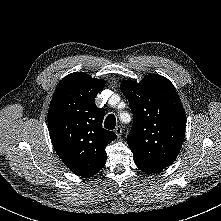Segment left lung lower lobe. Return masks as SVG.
Here are the masks:
<instances>
[{"instance_id":"1","label":"left lung lower lobe","mask_w":221,"mask_h":221,"mask_svg":"<svg viewBox=\"0 0 221 221\" xmlns=\"http://www.w3.org/2000/svg\"><path fill=\"white\" fill-rule=\"evenodd\" d=\"M139 169H140L141 171H143V172H145V173H149V174L158 173V172L161 171V169H150V168L145 169V168H140V167H139Z\"/></svg>"}]
</instances>
